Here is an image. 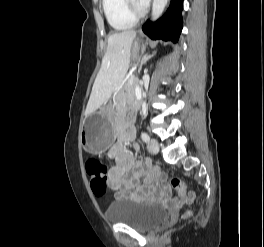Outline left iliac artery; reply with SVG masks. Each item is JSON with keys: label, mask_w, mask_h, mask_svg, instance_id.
<instances>
[{"label": "left iliac artery", "mask_w": 264, "mask_h": 247, "mask_svg": "<svg viewBox=\"0 0 264 247\" xmlns=\"http://www.w3.org/2000/svg\"><path fill=\"white\" fill-rule=\"evenodd\" d=\"M141 138H142V140H143L145 143H149V141H150V137H149V135H148L147 133H145V132H142V133H141Z\"/></svg>", "instance_id": "obj_1"}]
</instances>
